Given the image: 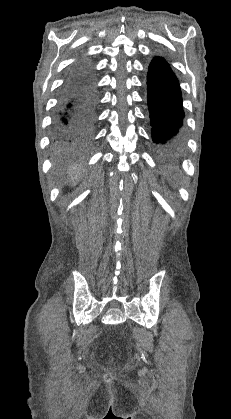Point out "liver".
I'll return each instance as SVG.
<instances>
[{"mask_svg": "<svg viewBox=\"0 0 231 419\" xmlns=\"http://www.w3.org/2000/svg\"><path fill=\"white\" fill-rule=\"evenodd\" d=\"M69 176H70V181L75 184L77 181L80 180V178L82 177V174L80 170L77 169L76 167H71L69 169Z\"/></svg>", "mask_w": 231, "mask_h": 419, "instance_id": "obj_1", "label": "liver"}]
</instances>
